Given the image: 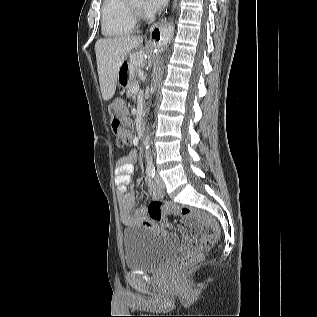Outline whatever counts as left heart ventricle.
<instances>
[{
  "instance_id": "b2bd125f",
  "label": "left heart ventricle",
  "mask_w": 317,
  "mask_h": 317,
  "mask_svg": "<svg viewBox=\"0 0 317 317\" xmlns=\"http://www.w3.org/2000/svg\"><path fill=\"white\" fill-rule=\"evenodd\" d=\"M132 5L137 7V8H142L143 7V0H133Z\"/></svg>"
}]
</instances>
